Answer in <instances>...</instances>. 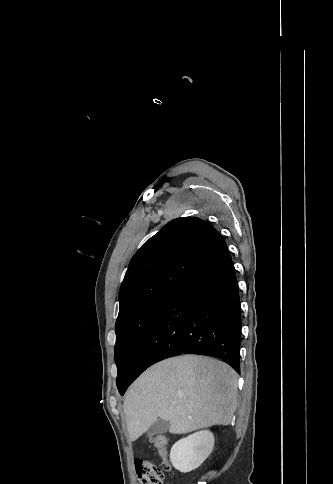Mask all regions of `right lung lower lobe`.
Returning a JSON list of instances; mask_svg holds the SVG:
<instances>
[{
  "label": "right lung lower lobe",
  "mask_w": 333,
  "mask_h": 484,
  "mask_svg": "<svg viewBox=\"0 0 333 484\" xmlns=\"http://www.w3.org/2000/svg\"><path fill=\"white\" fill-rule=\"evenodd\" d=\"M240 312L238 283L228 252L175 290L139 344L120 394L150 365L183 353L223 359L240 373Z\"/></svg>",
  "instance_id": "right-lung-lower-lobe-1"
}]
</instances>
